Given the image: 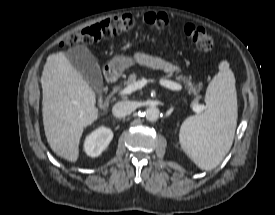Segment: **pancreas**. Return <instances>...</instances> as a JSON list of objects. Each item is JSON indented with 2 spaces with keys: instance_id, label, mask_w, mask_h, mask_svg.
<instances>
[{
  "instance_id": "1",
  "label": "pancreas",
  "mask_w": 275,
  "mask_h": 215,
  "mask_svg": "<svg viewBox=\"0 0 275 215\" xmlns=\"http://www.w3.org/2000/svg\"><path fill=\"white\" fill-rule=\"evenodd\" d=\"M137 75L135 73L131 74L126 81H124V85L129 86L131 84H134L136 82ZM176 81L183 83L186 90L188 91L189 94L194 95V99L191 103V107L194 105L198 104L201 96H200V90L202 88V84H195L192 82V80L186 76L183 75H177L175 77Z\"/></svg>"
}]
</instances>
